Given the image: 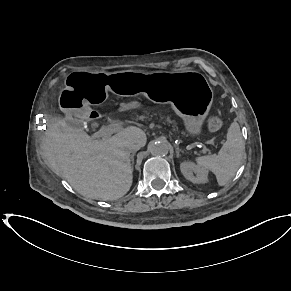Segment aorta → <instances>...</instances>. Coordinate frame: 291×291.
Here are the masks:
<instances>
[{
  "mask_svg": "<svg viewBox=\"0 0 291 291\" xmlns=\"http://www.w3.org/2000/svg\"><path fill=\"white\" fill-rule=\"evenodd\" d=\"M150 153L153 156H166L169 151V147L164 142H154L149 147Z\"/></svg>",
  "mask_w": 291,
  "mask_h": 291,
  "instance_id": "aorta-1",
  "label": "aorta"
}]
</instances>
